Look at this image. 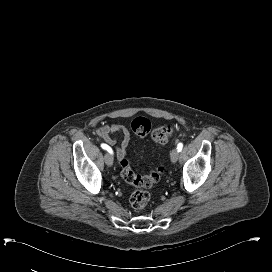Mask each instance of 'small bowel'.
I'll return each instance as SVG.
<instances>
[{
  "label": "small bowel",
  "instance_id": "1",
  "mask_svg": "<svg viewBox=\"0 0 272 272\" xmlns=\"http://www.w3.org/2000/svg\"><path fill=\"white\" fill-rule=\"evenodd\" d=\"M98 136L108 145L114 146L116 144V138L114 134L121 136L120 146L116 147V154L119 160H122L126 156V149L131 140V133L129 129L120 123H113L111 125H105L98 129Z\"/></svg>",
  "mask_w": 272,
  "mask_h": 272
}]
</instances>
